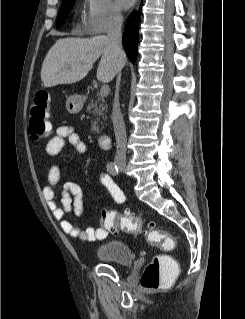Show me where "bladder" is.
I'll use <instances>...</instances> for the list:
<instances>
[{"label": "bladder", "instance_id": "bladder-1", "mask_svg": "<svg viewBox=\"0 0 245 319\" xmlns=\"http://www.w3.org/2000/svg\"><path fill=\"white\" fill-rule=\"evenodd\" d=\"M96 258L101 262H113L119 265H131L134 261L132 247L125 241L112 239L104 242L95 250Z\"/></svg>", "mask_w": 245, "mask_h": 319}]
</instances>
